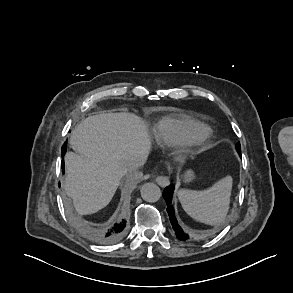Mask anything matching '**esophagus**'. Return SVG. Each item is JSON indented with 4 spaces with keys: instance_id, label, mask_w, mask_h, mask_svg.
Segmentation results:
<instances>
[{
    "instance_id": "1",
    "label": "esophagus",
    "mask_w": 293,
    "mask_h": 293,
    "mask_svg": "<svg viewBox=\"0 0 293 293\" xmlns=\"http://www.w3.org/2000/svg\"><path fill=\"white\" fill-rule=\"evenodd\" d=\"M156 182L161 186V187H166L169 185L170 181L167 176L164 175H159L156 177Z\"/></svg>"
}]
</instances>
